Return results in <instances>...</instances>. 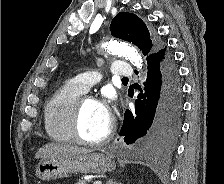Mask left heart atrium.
I'll return each instance as SVG.
<instances>
[{"instance_id": "left-heart-atrium-1", "label": "left heart atrium", "mask_w": 224, "mask_h": 184, "mask_svg": "<svg viewBox=\"0 0 224 184\" xmlns=\"http://www.w3.org/2000/svg\"><path fill=\"white\" fill-rule=\"evenodd\" d=\"M104 111V113L106 114V116L108 118H111V108H110V104L108 102H101L99 103Z\"/></svg>"}]
</instances>
